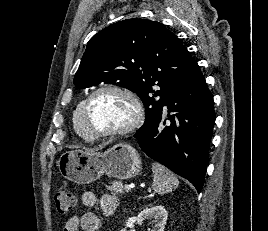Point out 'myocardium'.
Masks as SVG:
<instances>
[{
  "label": "myocardium",
  "instance_id": "myocardium-1",
  "mask_svg": "<svg viewBox=\"0 0 268 231\" xmlns=\"http://www.w3.org/2000/svg\"><path fill=\"white\" fill-rule=\"evenodd\" d=\"M102 92H112L126 98L132 105L133 116L131 120L118 129L95 131L90 127L88 120L89 106L95 96ZM82 119L84 127L90 138H116L125 136L139 128L144 120V108L139 97L131 90L116 85H106L92 91L82 106Z\"/></svg>",
  "mask_w": 268,
  "mask_h": 231
}]
</instances>
